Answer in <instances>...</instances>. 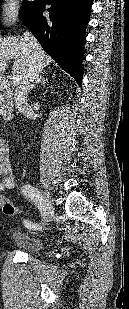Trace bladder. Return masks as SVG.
Here are the masks:
<instances>
[{"instance_id": "obj_1", "label": "bladder", "mask_w": 129, "mask_h": 309, "mask_svg": "<svg viewBox=\"0 0 129 309\" xmlns=\"http://www.w3.org/2000/svg\"><path fill=\"white\" fill-rule=\"evenodd\" d=\"M11 241L14 246L27 252H37L43 248L40 238L34 237L20 228L12 230Z\"/></svg>"}]
</instances>
